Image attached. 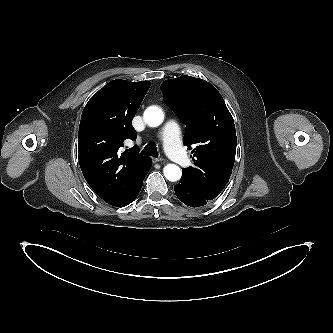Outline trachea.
Instances as JSON below:
<instances>
[{
	"label": "trachea",
	"mask_w": 333,
	"mask_h": 333,
	"mask_svg": "<svg viewBox=\"0 0 333 333\" xmlns=\"http://www.w3.org/2000/svg\"><path fill=\"white\" fill-rule=\"evenodd\" d=\"M142 155H149L155 158L158 157V152L154 143L147 144L144 149L141 151Z\"/></svg>",
	"instance_id": "3493384b"
}]
</instances>
